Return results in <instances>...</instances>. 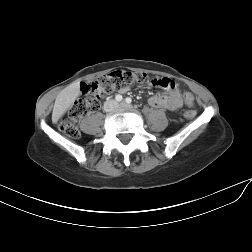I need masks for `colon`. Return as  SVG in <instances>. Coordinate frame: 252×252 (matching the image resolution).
<instances>
[{"label": "colon", "instance_id": "obj_1", "mask_svg": "<svg viewBox=\"0 0 252 252\" xmlns=\"http://www.w3.org/2000/svg\"><path fill=\"white\" fill-rule=\"evenodd\" d=\"M153 80L148 79L143 72L114 71L96 81L84 84L81 98L75 102L67 116L58 121L60 131L71 138H77L80 131L76 126V122L86 114L97 111L100 108L101 99L105 95L115 91L125 92L135 84L148 83L153 85ZM183 99L188 106H193L194 98L191 93L185 92ZM184 115L186 118L191 119L196 115V111L190 109Z\"/></svg>", "mask_w": 252, "mask_h": 252}]
</instances>
